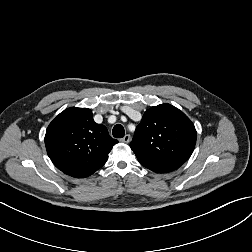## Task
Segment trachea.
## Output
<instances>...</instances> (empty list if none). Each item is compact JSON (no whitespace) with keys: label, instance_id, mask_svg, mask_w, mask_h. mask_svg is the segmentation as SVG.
Returning <instances> with one entry per match:
<instances>
[{"label":"trachea","instance_id":"obj_1","mask_svg":"<svg viewBox=\"0 0 252 252\" xmlns=\"http://www.w3.org/2000/svg\"><path fill=\"white\" fill-rule=\"evenodd\" d=\"M112 134L115 138H122L125 135V131L122 125L117 124L113 127Z\"/></svg>","mask_w":252,"mask_h":252}]
</instances>
